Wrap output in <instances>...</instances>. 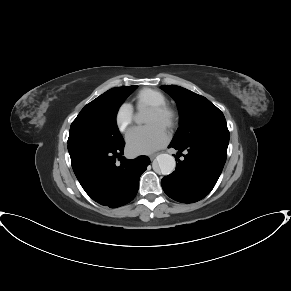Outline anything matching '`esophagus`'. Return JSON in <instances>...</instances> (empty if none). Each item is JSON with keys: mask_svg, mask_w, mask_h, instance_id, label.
<instances>
[{"mask_svg": "<svg viewBox=\"0 0 291 291\" xmlns=\"http://www.w3.org/2000/svg\"><path fill=\"white\" fill-rule=\"evenodd\" d=\"M157 155H158V153H153L149 157H150L151 160H153Z\"/></svg>", "mask_w": 291, "mask_h": 291, "instance_id": "1", "label": "esophagus"}]
</instances>
